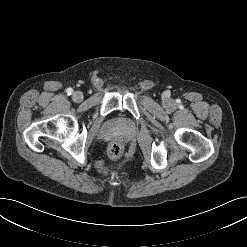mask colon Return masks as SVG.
Segmentation results:
<instances>
[{
	"instance_id": "obj_1",
	"label": "colon",
	"mask_w": 247,
	"mask_h": 247,
	"mask_svg": "<svg viewBox=\"0 0 247 247\" xmlns=\"http://www.w3.org/2000/svg\"><path fill=\"white\" fill-rule=\"evenodd\" d=\"M108 153L111 159L116 160L120 158L122 154V147L119 144L114 143L109 147Z\"/></svg>"
}]
</instances>
